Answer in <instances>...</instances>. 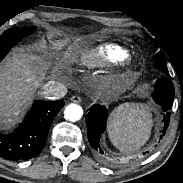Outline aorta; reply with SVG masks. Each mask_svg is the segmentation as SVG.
<instances>
[{"mask_svg": "<svg viewBox=\"0 0 183 183\" xmlns=\"http://www.w3.org/2000/svg\"><path fill=\"white\" fill-rule=\"evenodd\" d=\"M64 115L69 121L75 122L81 119L83 115V109L80 105L72 103L66 107Z\"/></svg>", "mask_w": 183, "mask_h": 183, "instance_id": "aorta-1", "label": "aorta"}]
</instances>
